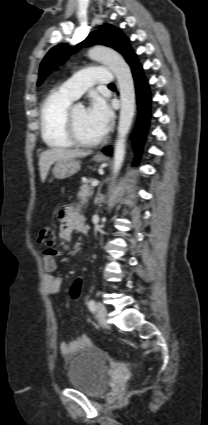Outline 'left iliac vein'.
<instances>
[{"mask_svg": "<svg viewBox=\"0 0 208 425\" xmlns=\"http://www.w3.org/2000/svg\"><path fill=\"white\" fill-rule=\"evenodd\" d=\"M96 312L98 314L99 320L101 323H105L107 317V309L103 303L98 302L96 305Z\"/></svg>", "mask_w": 208, "mask_h": 425, "instance_id": "4c4485c4", "label": "left iliac vein"}]
</instances>
